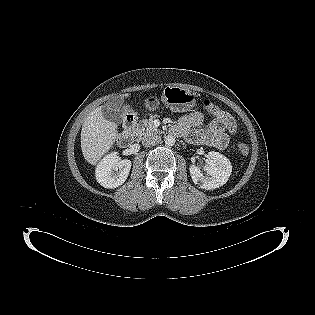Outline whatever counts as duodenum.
I'll return each instance as SVG.
<instances>
[{
  "mask_svg": "<svg viewBox=\"0 0 315 315\" xmlns=\"http://www.w3.org/2000/svg\"><path fill=\"white\" fill-rule=\"evenodd\" d=\"M136 125V117L132 113H127L123 119V130L117 137V143L121 147H127L133 138L134 128ZM171 132L175 131L171 128Z\"/></svg>",
  "mask_w": 315,
  "mask_h": 315,
  "instance_id": "1",
  "label": "duodenum"
}]
</instances>
